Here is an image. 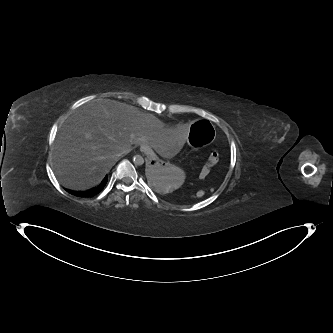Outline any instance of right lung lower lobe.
<instances>
[{"mask_svg":"<svg viewBox=\"0 0 333 333\" xmlns=\"http://www.w3.org/2000/svg\"><path fill=\"white\" fill-rule=\"evenodd\" d=\"M107 176L103 179L102 183L95 187V188H92V189H89L87 191H83V192H70L71 194L77 196V197H93L95 195H97L98 193H100L103 188L105 187L106 183H107Z\"/></svg>","mask_w":333,"mask_h":333,"instance_id":"1","label":"right lung lower lobe"}]
</instances>
